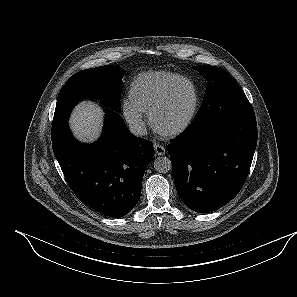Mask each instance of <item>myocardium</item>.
Wrapping results in <instances>:
<instances>
[{"instance_id": "obj_1", "label": "myocardium", "mask_w": 297, "mask_h": 297, "mask_svg": "<svg viewBox=\"0 0 297 297\" xmlns=\"http://www.w3.org/2000/svg\"><path fill=\"white\" fill-rule=\"evenodd\" d=\"M181 82H187L191 87L192 102L190 105V109H189L186 117L177 126L171 128V129H168V130H162L157 126V123H156L157 115L168 104V102L170 101L171 96L173 94V91L175 90L177 85ZM198 105H199V94H198V90H197L195 83L190 78H188L186 76L179 75L169 84V86L167 87V89L164 92V94L162 95V97L155 103V105L149 111L150 124H151L152 128L154 129V131H156L157 133H159L162 136H165V137L178 136L181 133H183L192 124V122L196 116L197 110H198Z\"/></svg>"}]
</instances>
